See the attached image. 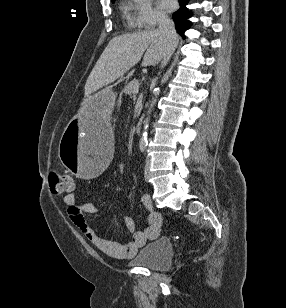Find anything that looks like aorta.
Instances as JSON below:
<instances>
[{
	"label": "aorta",
	"mask_w": 286,
	"mask_h": 308,
	"mask_svg": "<svg viewBox=\"0 0 286 308\" xmlns=\"http://www.w3.org/2000/svg\"><path fill=\"white\" fill-rule=\"evenodd\" d=\"M136 3H140L143 0H134ZM160 93V89L157 88L154 90V97H153V101H156L157 96ZM152 107V105H151ZM151 107H149L148 111H147V117L145 118L144 122H143V132L141 135V139H140V145L141 146H146L148 144V127H149V122H150V114H151Z\"/></svg>",
	"instance_id": "1"
}]
</instances>
